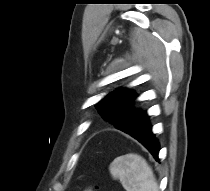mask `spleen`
Instances as JSON below:
<instances>
[{"instance_id": "spleen-1", "label": "spleen", "mask_w": 210, "mask_h": 191, "mask_svg": "<svg viewBox=\"0 0 210 191\" xmlns=\"http://www.w3.org/2000/svg\"><path fill=\"white\" fill-rule=\"evenodd\" d=\"M109 170L126 191H159L151 167L138 154L129 153L115 158Z\"/></svg>"}]
</instances>
